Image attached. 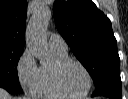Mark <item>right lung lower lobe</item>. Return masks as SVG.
<instances>
[{
    "mask_svg": "<svg viewBox=\"0 0 128 99\" xmlns=\"http://www.w3.org/2000/svg\"><path fill=\"white\" fill-rule=\"evenodd\" d=\"M0 87L6 89L8 92L10 93H15L16 91H14L13 89L9 88V87H6V86H3V85H0Z\"/></svg>",
    "mask_w": 128,
    "mask_h": 99,
    "instance_id": "right-lung-lower-lobe-1",
    "label": "right lung lower lobe"
}]
</instances>
